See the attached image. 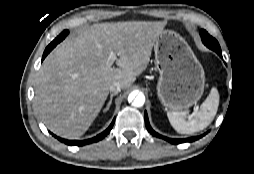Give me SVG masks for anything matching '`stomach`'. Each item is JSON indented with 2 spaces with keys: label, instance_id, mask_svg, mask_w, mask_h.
<instances>
[{
  "label": "stomach",
  "instance_id": "stomach-1",
  "mask_svg": "<svg viewBox=\"0 0 254 174\" xmlns=\"http://www.w3.org/2000/svg\"><path fill=\"white\" fill-rule=\"evenodd\" d=\"M154 52L161 103L170 110L197 103L204 91L205 74L188 43L177 32L163 30L155 41Z\"/></svg>",
  "mask_w": 254,
  "mask_h": 174
}]
</instances>
